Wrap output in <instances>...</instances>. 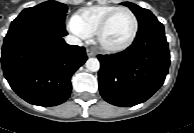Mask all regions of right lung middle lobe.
Segmentation results:
<instances>
[{
    "instance_id": "obj_1",
    "label": "right lung middle lobe",
    "mask_w": 194,
    "mask_h": 133,
    "mask_svg": "<svg viewBox=\"0 0 194 133\" xmlns=\"http://www.w3.org/2000/svg\"><path fill=\"white\" fill-rule=\"evenodd\" d=\"M68 8L57 1H46L34 7L24 9L11 22L10 29L24 24L55 23L65 25Z\"/></svg>"
}]
</instances>
